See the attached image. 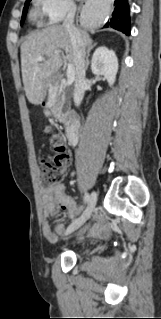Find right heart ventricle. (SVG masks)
<instances>
[{
  "mask_svg": "<svg viewBox=\"0 0 161 319\" xmlns=\"http://www.w3.org/2000/svg\"><path fill=\"white\" fill-rule=\"evenodd\" d=\"M32 16H33L34 18H40V13H39L38 11H34V12L32 13Z\"/></svg>",
  "mask_w": 161,
  "mask_h": 319,
  "instance_id": "1",
  "label": "right heart ventricle"
}]
</instances>
